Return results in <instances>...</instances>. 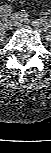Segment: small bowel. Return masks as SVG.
<instances>
[{
	"mask_svg": "<svg viewBox=\"0 0 51 153\" xmlns=\"http://www.w3.org/2000/svg\"><path fill=\"white\" fill-rule=\"evenodd\" d=\"M9 2H13L14 0H8Z\"/></svg>",
	"mask_w": 51,
	"mask_h": 153,
	"instance_id": "1",
	"label": "small bowel"
}]
</instances>
